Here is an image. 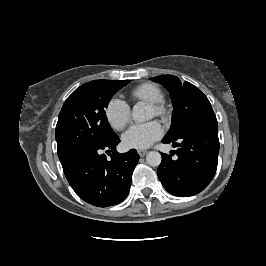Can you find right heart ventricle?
<instances>
[{
	"label": "right heart ventricle",
	"instance_id": "e07e8e85",
	"mask_svg": "<svg viewBox=\"0 0 266 266\" xmlns=\"http://www.w3.org/2000/svg\"><path fill=\"white\" fill-rule=\"evenodd\" d=\"M133 98L148 103L163 99L164 94L159 86L153 83H143L131 92Z\"/></svg>",
	"mask_w": 266,
	"mask_h": 266
}]
</instances>
